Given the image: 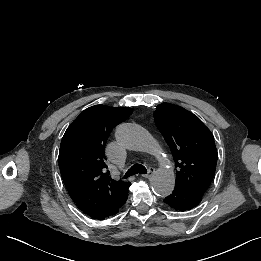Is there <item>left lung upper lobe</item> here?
<instances>
[{"label": "left lung upper lobe", "mask_w": 261, "mask_h": 261, "mask_svg": "<svg viewBox=\"0 0 261 261\" xmlns=\"http://www.w3.org/2000/svg\"><path fill=\"white\" fill-rule=\"evenodd\" d=\"M154 119L178 169L175 186L202 197L214 177L217 164L212 133L193 113L169 103L157 106Z\"/></svg>", "instance_id": "1"}]
</instances>
